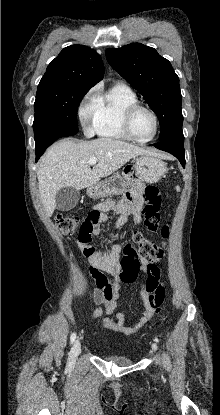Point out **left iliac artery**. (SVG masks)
Instances as JSON below:
<instances>
[{"label":"left iliac artery","mask_w":220,"mask_h":415,"mask_svg":"<svg viewBox=\"0 0 220 415\" xmlns=\"http://www.w3.org/2000/svg\"><path fill=\"white\" fill-rule=\"evenodd\" d=\"M155 341L158 342V338L157 337L155 338Z\"/></svg>","instance_id":"1"}]
</instances>
